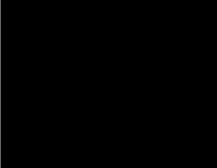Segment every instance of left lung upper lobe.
Returning a JSON list of instances; mask_svg holds the SVG:
<instances>
[{
	"label": "left lung upper lobe",
	"mask_w": 217,
	"mask_h": 168,
	"mask_svg": "<svg viewBox=\"0 0 217 168\" xmlns=\"http://www.w3.org/2000/svg\"><path fill=\"white\" fill-rule=\"evenodd\" d=\"M149 43V64L141 89L147 99L179 104L183 95V59L175 38L164 28H146Z\"/></svg>",
	"instance_id": "left-lung-upper-lobe-1"
}]
</instances>
